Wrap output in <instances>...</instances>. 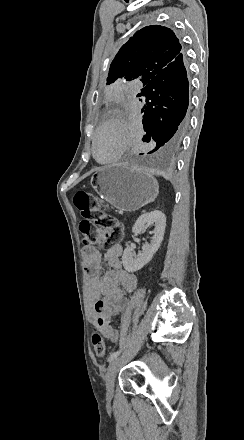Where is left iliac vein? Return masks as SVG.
<instances>
[{"instance_id": "obj_1", "label": "left iliac vein", "mask_w": 244, "mask_h": 440, "mask_svg": "<svg viewBox=\"0 0 244 440\" xmlns=\"http://www.w3.org/2000/svg\"><path fill=\"white\" fill-rule=\"evenodd\" d=\"M121 363V358L120 357H116L115 359H113L108 368H107V374L105 377V384H106V394L107 396H113L114 393V380H115V376L118 370V367Z\"/></svg>"}]
</instances>
